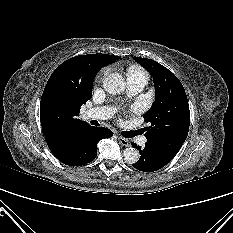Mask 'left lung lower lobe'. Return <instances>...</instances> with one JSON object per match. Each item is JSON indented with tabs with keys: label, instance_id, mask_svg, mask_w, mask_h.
<instances>
[{
	"label": "left lung lower lobe",
	"instance_id": "1",
	"mask_svg": "<svg viewBox=\"0 0 233 233\" xmlns=\"http://www.w3.org/2000/svg\"><path fill=\"white\" fill-rule=\"evenodd\" d=\"M132 146L141 154L139 160L133 167L144 172H153L161 169L171 161V157L146 143L144 148L132 143Z\"/></svg>",
	"mask_w": 233,
	"mask_h": 233
}]
</instances>
